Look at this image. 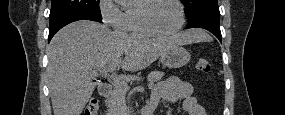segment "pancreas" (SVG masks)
<instances>
[{
	"mask_svg": "<svg viewBox=\"0 0 285 115\" xmlns=\"http://www.w3.org/2000/svg\"><path fill=\"white\" fill-rule=\"evenodd\" d=\"M164 76L163 72L152 71L148 75V81L150 84L160 81ZM128 85L122 86L114 84L113 90L110 92L105 103L108 108V115H122L123 112L127 109L126 106V93L128 91Z\"/></svg>",
	"mask_w": 285,
	"mask_h": 115,
	"instance_id": "pancreas-1",
	"label": "pancreas"
}]
</instances>
